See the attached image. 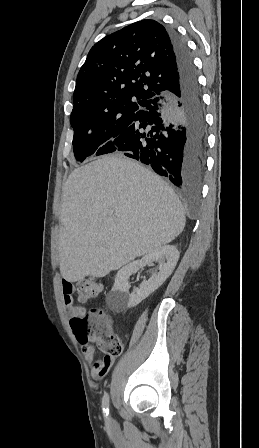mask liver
<instances>
[{
	"label": "liver",
	"mask_w": 259,
	"mask_h": 448,
	"mask_svg": "<svg viewBox=\"0 0 259 448\" xmlns=\"http://www.w3.org/2000/svg\"><path fill=\"white\" fill-rule=\"evenodd\" d=\"M59 214L60 274L67 282L104 278L175 240L186 222L160 176L113 154L71 172Z\"/></svg>",
	"instance_id": "1"
}]
</instances>
